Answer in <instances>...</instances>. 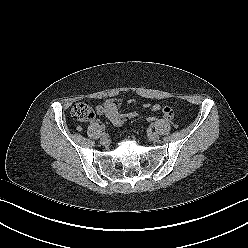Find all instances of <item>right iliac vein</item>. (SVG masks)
Returning a JSON list of instances; mask_svg holds the SVG:
<instances>
[{
  "instance_id": "1",
  "label": "right iliac vein",
  "mask_w": 248,
  "mask_h": 248,
  "mask_svg": "<svg viewBox=\"0 0 248 248\" xmlns=\"http://www.w3.org/2000/svg\"><path fill=\"white\" fill-rule=\"evenodd\" d=\"M108 140H109L108 135L106 133H102V135H101V141L104 142V143H106V142H108Z\"/></svg>"
}]
</instances>
